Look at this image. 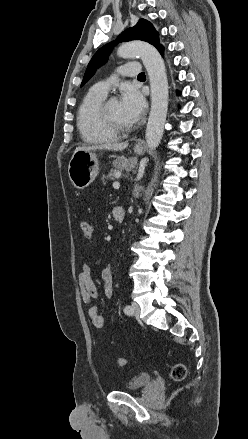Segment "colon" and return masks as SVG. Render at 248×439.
<instances>
[{"label": "colon", "mask_w": 248, "mask_h": 439, "mask_svg": "<svg viewBox=\"0 0 248 439\" xmlns=\"http://www.w3.org/2000/svg\"><path fill=\"white\" fill-rule=\"evenodd\" d=\"M81 229L83 232V235L85 238L90 239L92 237L93 234V229L92 226L89 222H82L81 224ZM126 364V359L125 358H118L117 359V365L122 367ZM186 367L185 365H183L182 363H177L173 366L172 370H171V378L174 381L180 382L182 380L185 379L186 377Z\"/></svg>", "instance_id": "colon-1"}]
</instances>
